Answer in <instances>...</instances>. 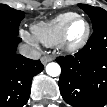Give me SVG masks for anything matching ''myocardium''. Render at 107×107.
Returning a JSON list of instances; mask_svg holds the SVG:
<instances>
[{"label":"myocardium","instance_id":"myocardium-1","mask_svg":"<svg viewBox=\"0 0 107 107\" xmlns=\"http://www.w3.org/2000/svg\"><path fill=\"white\" fill-rule=\"evenodd\" d=\"M75 20H82L85 23V31L79 40L73 42L69 39V30L72 23ZM90 34H91V26L88 20L85 17L76 14L66 23L63 32L61 34V37L59 39V42L57 44L60 47V49H62L63 51L68 53H74L84 47V45L87 43L90 37Z\"/></svg>","mask_w":107,"mask_h":107}]
</instances>
